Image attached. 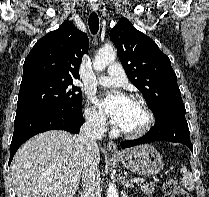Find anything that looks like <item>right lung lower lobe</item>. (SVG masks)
<instances>
[{
	"instance_id": "98d812e1",
	"label": "right lung lower lobe",
	"mask_w": 209,
	"mask_h": 197,
	"mask_svg": "<svg viewBox=\"0 0 209 197\" xmlns=\"http://www.w3.org/2000/svg\"><path fill=\"white\" fill-rule=\"evenodd\" d=\"M84 123L81 108H43L29 111L15 117V129L11 142V163L17 149L32 136L53 129L78 133Z\"/></svg>"
}]
</instances>
